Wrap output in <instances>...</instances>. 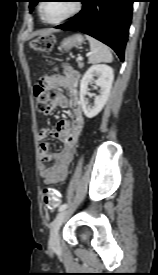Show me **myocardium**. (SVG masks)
I'll use <instances>...</instances> for the list:
<instances>
[{"instance_id": "1", "label": "myocardium", "mask_w": 158, "mask_h": 275, "mask_svg": "<svg viewBox=\"0 0 158 275\" xmlns=\"http://www.w3.org/2000/svg\"><path fill=\"white\" fill-rule=\"evenodd\" d=\"M44 3H45V2H42V3H40V5H39V14H40L41 19H42L45 23L51 24V25L60 24V23H62V22H64V21H66V20H68V19L74 17V16L77 15V14L81 11V9H82V1H81V0H76V1H74V7H73L72 11H71L68 15L64 16L63 18H61V19H59V20H57V21H49V20H47V19L45 18L44 14H43Z\"/></svg>"}]
</instances>
